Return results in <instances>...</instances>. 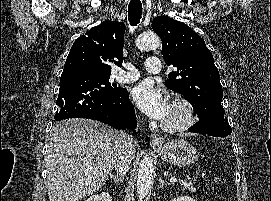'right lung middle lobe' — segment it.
<instances>
[{"mask_svg": "<svg viewBox=\"0 0 271 201\" xmlns=\"http://www.w3.org/2000/svg\"><path fill=\"white\" fill-rule=\"evenodd\" d=\"M109 79V74L95 73L83 69L63 71L60 78V91L64 89L81 92L97 90L105 94L118 92L120 88L111 84Z\"/></svg>", "mask_w": 271, "mask_h": 201, "instance_id": "1", "label": "right lung middle lobe"}]
</instances>
